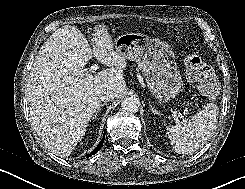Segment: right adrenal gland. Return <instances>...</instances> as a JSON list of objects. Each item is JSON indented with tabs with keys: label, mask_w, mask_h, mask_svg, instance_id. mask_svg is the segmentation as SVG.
Returning a JSON list of instances; mask_svg holds the SVG:
<instances>
[{
	"label": "right adrenal gland",
	"mask_w": 245,
	"mask_h": 189,
	"mask_svg": "<svg viewBox=\"0 0 245 189\" xmlns=\"http://www.w3.org/2000/svg\"><path fill=\"white\" fill-rule=\"evenodd\" d=\"M105 105H106V103H102V104L99 105L98 109L96 110L95 114H94L93 117H92V120H95V119L97 118V115L99 114L100 109H101L103 106H105Z\"/></svg>",
	"instance_id": "right-adrenal-gland-1"
}]
</instances>
